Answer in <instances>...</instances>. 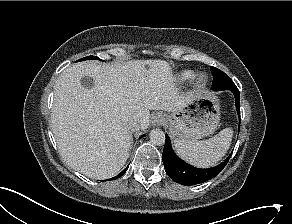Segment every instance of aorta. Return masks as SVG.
I'll return each instance as SVG.
<instances>
[{"instance_id": "obj_1", "label": "aorta", "mask_w": 292, "mask_h": 224, "mask_svg": "<svg viewBox=\"0 0 292 224\" xmlns=\"http://www.w3.org/2000/svg\"><path fill=\"white\" fill-rule=\"evenodd\" d=\"M150 140L155 145H163L165 143V134L160 129H153L150 132Z\"/></svg>"}]
</instances>
